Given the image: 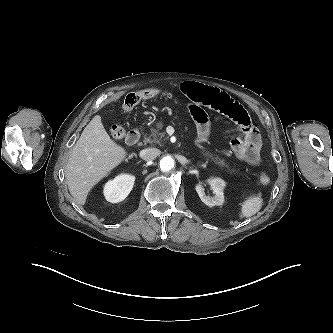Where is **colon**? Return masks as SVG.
<instances>
[{
    "mask_svg": "<svg viewBox=\"0 0 333 333\" xmlns=\"http://www.w3.org/2000/svg\"><path fill=\"white\" fill-rule=\"evenodd\" d=\"M159 95L166 96V95H169V93L166 91L159 90V89H145V90L129 93L124 98V101L122 104V109L125 112H130L142 100L151 99V98L157 97ZM110 132H111V136L115 139L123 138L124 133H125L124 129L120 125H117V124L112 125ZM259 181L262 184L267 185L270 183V177L267 174L262 173L259 177Z\"/></svg>",
    "mask_w": 333,
    "mask_h": 333,
    "instance_id": "1",
    "label": "colon"
}]
</instances>
